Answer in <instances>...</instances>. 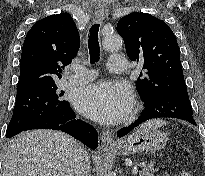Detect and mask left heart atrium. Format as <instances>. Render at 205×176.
<instances>
[{"mask_svg":"<svg viewBox=\"0 0 205 176\" xmlns=\"http://www.w3.org/2000/svg\"><path fill=\"white\" fill-rule=\"evenodd\" d=\"M133 102L130 88L113 81L86 86L75 97V106L80 113L107 124L122 120L132 109Z\"/></svg>","mask_w":205,"mask_h":176,"instance_id":"1","label":"left heart atrium"}]
</instances>
